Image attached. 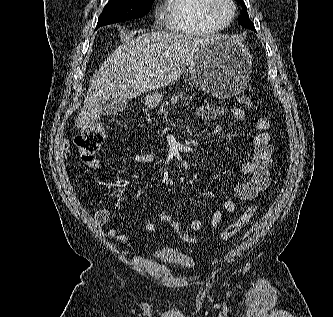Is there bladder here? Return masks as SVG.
I'll use <instances>...</instances> for the list:
<instances>
[{
    "label": "bladder",
    "mask_w": 333,
    "mask_h": 317,
    "mask_svg": "<svg viewBox=\"0 0 333 317\" xmlns=\"http://www.w3.org/2000/svg\"><path fill=\"white\" fill-rule=\"evenodd\" d=\"M152 258L161 264L177 265L187 270H192L196 266L193 257L175 248L163 247L156 249L152 253Z\"/></svg>",
    "instance_id": "1"
}]
</instances>
